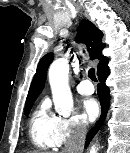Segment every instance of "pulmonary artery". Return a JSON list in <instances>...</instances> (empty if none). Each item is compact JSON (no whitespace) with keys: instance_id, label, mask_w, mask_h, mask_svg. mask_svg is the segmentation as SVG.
<instances>
[{"instance_id":"e3ab8cb5","label":"pulmonary artery","mask_w":130,"mask_h":153,"mask_svg":"<svg viewBox=\"0 0 130 153\" xmlns=\"http://www.w3.org/2000/svg\"><path fill=\"white\" fill-rule=\"evenodd\" d=\"M76 90L82 95H91L94 92V86L89 80H83L76 85Z\"/></svg>"}]
</instances>
